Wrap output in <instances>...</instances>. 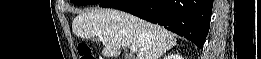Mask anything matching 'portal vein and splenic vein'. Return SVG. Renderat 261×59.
Masks as SVG:
<instances>
[{
  "instance_id": "portal-vein-and-splenic-vein-1",
  "label": "portal vein and splenic vein",
  "mask_w": 261,
  "mask_h": 59,
  "mask_svg": "<svg viewBox=\"0 0 261 59\" xmlns=\"http://www.w3.org/2000/svg\"><path fill=\"white\" fill-rule=\"evenodd\" d=\"M99 39L101 40V41H106L107 39L106 38H104V37H102V36H100L99 37ZM130 50L132 51V52H137V47H135V46H131L130 47Z\"/></svg>"
}]
</instances>
